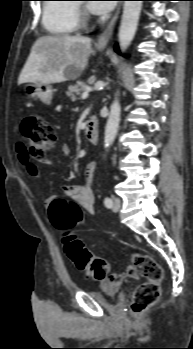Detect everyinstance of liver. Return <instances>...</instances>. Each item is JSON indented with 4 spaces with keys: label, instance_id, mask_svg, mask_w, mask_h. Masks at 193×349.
Returning a JSON list of instances; mask_svg holds the SVG:
<instances>
[{
    "label": "liver",
    "instance_id": "obj_1",
    "mask_svg": "<svg viewBox=\"0 0 193 349\" xmlns=\"http://www.w3.org/2000/svg\"><path fill=\"white\" fill-rule=\"evenodd\" d=\"M91 53V39L70 35H46L33 44L19 75L18 83H60L67 80V69L83 71Z\"/></svg>",
    "mask_w": 193,
    "mask_h": 349
}]
</instances>
